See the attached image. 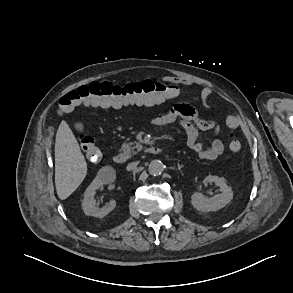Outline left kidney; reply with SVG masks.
I'll list each match as a JSON object with an SVG mask.
<instances>
[{
	"label": "left kidney",
	"instance_id": "left-kidney-1",
	"mask_svg": "<svg viewBox=\"0 0 293 293\" xmlns=\"http://www.w3.org/2000/svg\"><path fill=\"white\" fill-rule=\"evenodd\" d=\"M204 183H215L220 187L221 193L208 199L202 193L195 192L191 196V204L196 210L201 212L217 211L225 207L232 200L233 191L231 187L226 184L224 178L208 175L204 179Z\"/></svg>",
	"mask_w": 293,
	"mask_h": 293
}]
</instances>
